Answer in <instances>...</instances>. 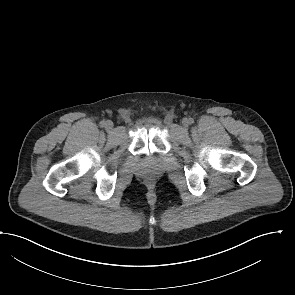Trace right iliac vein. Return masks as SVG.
<instances>
[{"label": "right iliac vein", "mask_w": 295, "mask_h": 295, "mask_svg": "<svg viewBox=\"0 0 295 295\" xmlns=\"http://www.w3.org/2000/svg\"><path fill=\"white\" fill-rule=\"evenodd\" d=\"M113 126H114V124H113L112 121L107 120V121L105 122V128H106L107 130H112V129H113Z\"/></svg>", "instance_id": "63e3f726"}]
</instances>
